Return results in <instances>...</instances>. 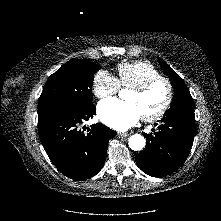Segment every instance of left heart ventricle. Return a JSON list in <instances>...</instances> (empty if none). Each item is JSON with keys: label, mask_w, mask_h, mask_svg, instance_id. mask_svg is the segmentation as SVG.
<instances>
[{"label": "left heart ventricle", "mask_w": 221, "mask_h": 221, "mask_svg": "<svg viewBox=\"0 0 221 221\" xmlns=\"http://www.w3.org/2000/svg\"><path fill=\"white\" fill-rule=\"evenodd\" d=\"M167 95L165 85L158 84L145 94H137L130 90L126 95V100L134 103L141 115H149L158 111L163 105Z\"/></svg>", "instance_id": "obj_1"}]
</instances>
